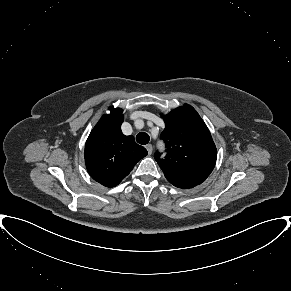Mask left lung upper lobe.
I'll return each mask as SVG.
<instances>
[{
  "instance_id": "1",
  "label": "left lung upper lobe",
  "mask_w": 291,
  "mask_h": 291,
  "mask_svg": "<svg viewBox=\"0 0 291 291\" xmlns=\"http://www.w3.org/2000/svg\"><path fill=\"white\" fill-rule=\"evenodd\" d=\"M166 128L161 134L167 148L164 159L155 160L171 183L201 184L212 172L217 151L210 131L196 110L185 104L163 116Z\"/></svg>"
}]
</instances>
